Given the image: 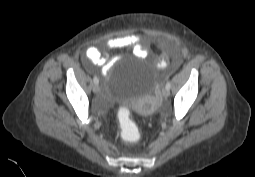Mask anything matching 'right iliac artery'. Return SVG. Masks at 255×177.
<instances>
[{"instance_id":"82829eb1","label":"right iliac artery","mask_w":255,"mask_h":177,"mask_svg":"<svg viewBox=\"0 0 255 177\" xmlns=\"http://www.w3.org/2000/svg\"><path fill=\"white\" fill-rule=\"evenodd\" d=\"M93 82H94L95 84H98V83H99V80H98V78H97L96 76L93 78Z\"/></svg>"}]
</instances>
